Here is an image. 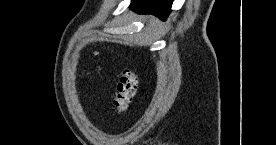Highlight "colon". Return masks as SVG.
<instances>
[{"instance_id":"1","label":"colon","mask_w":276,"mask_h":145,"mask_svg":"<svg viewBox=\"0 0 276 145\" xmlns=\"http://www.w3.org/2000/svg\"><path fill=\"white\" fill-rule=\"evenodd\" d=\"M138 77L135 73L125 70L122 72L113 100V113L122 116L127 111L130 102L136 94Z\"/></svg>"}]
</instances>
